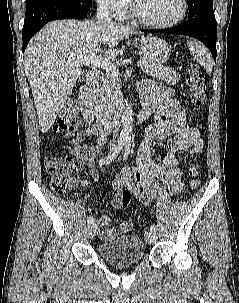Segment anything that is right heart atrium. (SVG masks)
<instances>
[{
  "label": "right heart atrium",
  "mask_w": 239,
  "mask_h": 303,
  "mask_svg": "<svg viewBox=\"0 0 239 303\" xmlns=\"http://www.w3.org/2000/svg\"><path fill=\"white\" fill-rule=\"evenodd\" d=\"M98 5L115 18H123L130 7L128 0H96Z\"/></svg>",
  "instance_id": "1"
}]
</instances>
